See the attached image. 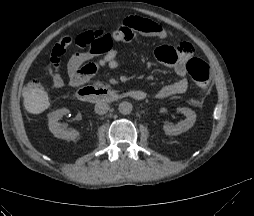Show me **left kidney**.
<instances>
[{"label": "left kidney", "mask_w": 254, "mask_h": 216, "mask_svg": "<svg viewBox=\"0 0 254 216\" xmlns=\"http://www.w3.org/2000/svg\"><path fill=\"white\" fill-rule=\"evenodd\" d=\"M177 111L183 113L186 116V118L184 120H181L175 125L165 124L163 126V129L166 135L174 136L186 132L194 125L196 121V113L193 110L186 107H182L177 108Z\"/></svg>", "instance_id": "1"}]
</instances>
